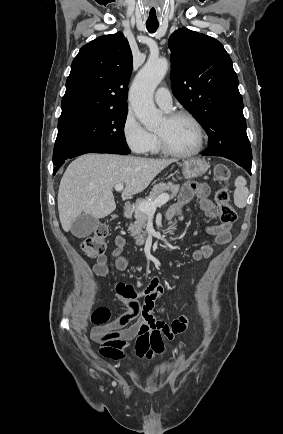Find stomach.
I'll return each instance as SVG.
<instances>
[{
	"instance_id": "0dacf381",
	"label": "stomach",
	"mask_w": 283,
	"mask_h": 434,
	"mask_svg": "<svg viewBox=\"0 0 283 434\" xmlns=\"http://www.w3.org/2000/svg\"><path fill=\"white\" fill-rule=\"evenodd\" d=\"M209 165L203 159L192 158L182 163V173L185 178L193 179L203 175L208 170Z\"/></svg>"
}]
</instances>
